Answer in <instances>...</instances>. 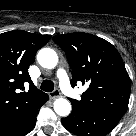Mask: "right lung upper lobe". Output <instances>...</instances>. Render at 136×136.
<instances>
[{
	"label": "right lung upper lobe",
	"mask_w": 136,
	"mask_h": 136,
	"mask_svg": "<svg viewBox=\"0 0 136 136\" xmlns=\"http://www.w3.org/2000/svg\"><path fill=\"white\" fill-rule=\"evenodd\" d=\"M50 38L22 30L0 34V136L22 130L47 96L34 86L28 68Z\"/></svg>",
	"instance_id": "cb5924a9"
}]
</instances>
